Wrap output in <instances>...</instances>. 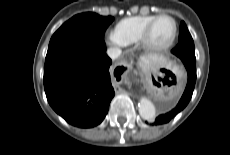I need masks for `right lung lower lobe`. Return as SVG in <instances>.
<instances>
[{
	"instance_id": "98d812e1",
	"label": "right lung lower lobe",
	"mask_w": 230,
	"mask_h": 155,
	"mask_svg": "<svg viewBox=\"0 0 230 155\" xmlns=\"http://www.w3.org/2000/svg\"><path fill=\"white\" fill-rule=\"evenodd\" d=\"M104 47H71L46 56L44 89L54 111L69 124L90 128L105 118L114 97Z\"/></svg>"
}]
</instances>
